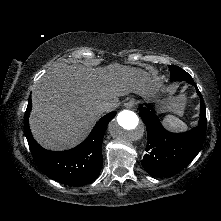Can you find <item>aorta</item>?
Returning a JSON list of instances; mask_svg holds the SVG:
<instances>
[{
	"instance_id": "aorta-1",
	"label": "aorta",
	"mask_w": 221,
	"mask_h": 221,
	"mask_svg": "<svg viewBox=\"0 0 221 221\" xmlns=\"http://www.w3.org/2000/svg\"><path fill=\"white\" fill-rule=\"evenodd\" d=\"M110 134L124 142H134L143 137L144 128L137 114L131 110L120 111L108 126Z\"/></svg>"
}]
</instances>
